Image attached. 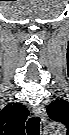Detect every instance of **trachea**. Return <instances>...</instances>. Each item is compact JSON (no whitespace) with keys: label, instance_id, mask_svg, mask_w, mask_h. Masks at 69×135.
<instances>
[{"label":"trachea","instance_id":"obj_1","mask_svg":"<svg viewBox=\"0 0 69 135\" xmlns=\"http://www.w3.org/2000/svg\"><path fill=\"white\" fill-rule=\"evenodd\" d=\"M26 131L28 135L40 134V117H31L26 124Z\"/></svg>","mask_w":69,"mask_h":135}]
</instances>
